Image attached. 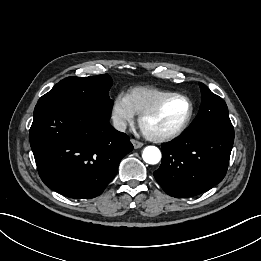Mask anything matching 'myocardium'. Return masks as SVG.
Returning <instances> with one entry per match:
<instances>
[{
  "label": "myocardium",
  "instance_id": "f54148a6",
  "mask_svg": "<svg viewBox=\"0 0 261 261\" xmlns=\"http://www.w3.org/2000/svg\"><path fill=\"white\" fill-rule=\"evenodd\" d=\"M174 98L183 99L188 103L189 110H188V113H187L186 117L184 118V120L177 127H175L174 129H172L170 131L160 132V133H153V132L148 131L145 128V121L148 118L156 115L168 101H170L171 99H174ZM193 114H194V105L188 96L180 94V93H170V94L164 96L163 98H161L153 106H151L147 110L143 111L139 115L138 122H139V126H140L142 132L148 139L155 141V142H163V141H168V140L174 139L177 136H179L181 133H183L184 130L190 124Z\"/></svg>",
  "mask_w": 261,
  "mask_h": 261
}]
</instances>
